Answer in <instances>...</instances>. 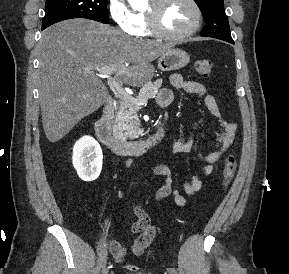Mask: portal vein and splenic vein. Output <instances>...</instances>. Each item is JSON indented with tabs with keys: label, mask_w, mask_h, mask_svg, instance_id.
Masks as SVG:
<instances>
[{
	"label": "portal vein and splenic vein",
	"mask_w": 289,
	"mask_h": 274,
	"mask_svg": "<svg viewBox=\"0 0 289 274\" xmlns=\"http://www.w3.org/2000/svg\"><path fill=\"white\" fill-rule=\"evenodd\" d=\"M96 70L100 75L107 78L108 85L110 89L119 98L132 99V97L121 87V85L116 81L112 75L115 73L116 68L114 66L97 67ZM137 105L147 104V100H134Z\"/></svg>",
	"instance_id": "portal-vein-and-splenic-vein-1"
}]
</instances>
